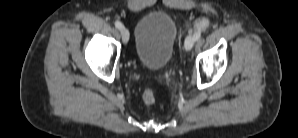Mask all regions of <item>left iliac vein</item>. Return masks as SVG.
Instances as JSON below:
<instances>
[{"instance_id":"left-iliac-vein-1","label":"left iliac vein","mask_w":298,"mask_h":138,"mask_svg":"<svg viewBox=\"0 0 298 138\" xmlns=\"http://www.w3.org/2000/svg\"><path fill=\"white\" fill-rule=\"evenodd\" d=\"M194 42H195L194 36H192V35L188 36L185 41L186 48L191 49L192 46L194 45Z\"/></svg>"}]
</instances>
